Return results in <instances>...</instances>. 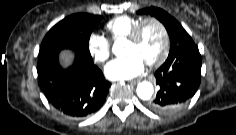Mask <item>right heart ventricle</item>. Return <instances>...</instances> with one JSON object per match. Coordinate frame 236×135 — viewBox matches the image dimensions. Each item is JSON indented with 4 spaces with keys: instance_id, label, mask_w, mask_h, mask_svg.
<instances>
[{
    "instance_id": "1",
    "label": "right heart ventricle",
    "mask_w": 236,
    "mask_h": 135,
    "mask_svg": "<svg viewBox=\"0 0 236 135\" xmlns=\"http://www.w3.org/2000/svg\"><path fill=\"white\" fill-rule=\"evenodd\" d=\"M142 19L143 17L139 16H118L107 22L105 29L112 41L123 40Z\"/></svg>"
}]
</instances>
